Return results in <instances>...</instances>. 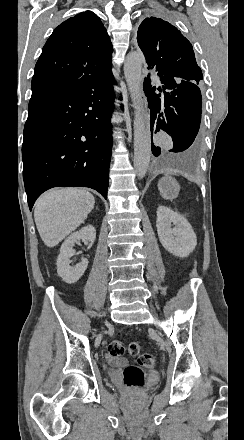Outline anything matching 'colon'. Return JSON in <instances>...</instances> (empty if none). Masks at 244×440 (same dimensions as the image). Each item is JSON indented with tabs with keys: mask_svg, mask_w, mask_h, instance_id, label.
<instances>
[{
	"mask_svg": "<svg viewBox=\"0 0 244 440\" xmlns=\"http://www.w3.org/2000/svg\"><path fill=\"white\" fill-rule=\"evenodd\" d=\"M128 353L131 356L138 358V365L153 368L156 359L151 353L142 352V346L140 343L132 342L127 347ZM108 351L113 357H121L124 354L125 346L119 340L111 341L108 345ZM145 374L140 368L135 365H128L123 375V382L127 388L130 387H143Z\"/></svg>",
	"mask_w": 244,
	"mask_h": 440,
	"instance_id": "5ec220e1",
	"label": "colon"
}]
</instances>
